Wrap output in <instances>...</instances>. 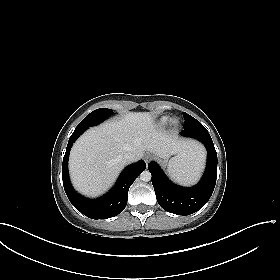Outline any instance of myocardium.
<instances>
[{
    "label": "myocardium",
    "mask_w": 280,
    "mask_h": 280,
    "mask_svg": "<svg viewBox=\"0 0 280 280\" xmlns=\"http://www.w3.org/2000/svg\"><path fill=\"white\" fill-rule=\"evenodd\" d=\"M178 123H179V121H178L177 119H174V120L172 121V124H173L174 126H177Z\"/></svg>",
    "instance_id": "obj_1"
}]
</instances>
